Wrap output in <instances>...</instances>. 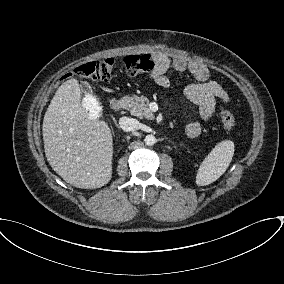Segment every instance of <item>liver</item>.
<instances>
[{
	"label": "liver",
	"instance_id": "1",
	"mask_svg": "<svg viewBox=\"0 0 284 284\" xmlns=\"http://www.w3.org/2000/svg\"><path fill=\"white\" fill-rule=\"evenodd\" d=\"M46 158L72 186L95 189L112 176V134L105 121L90 117L81 103L78 81L71 78L57 89L43 119Z\"/></svg>",
	"mask_w": 284,
	"mask_h": 284
}]
</instances>
